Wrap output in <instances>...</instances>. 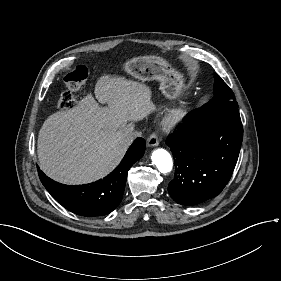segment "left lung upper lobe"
<instances>
[{
  "instance_id": "obj_1",
  "label": "left lung upper lobe",
  "mask_w": 281,
  "mask_h": 281,
  "mask_svg": "<svg viewBox=\"0 0 281 281\" xmlns=\"http://www.w3.org/2000/svg\"><path fill=\"white\" fill-rule=\"evenodd\" d=\"M202 109H217V108H231L237 109L238 103L235 100V96L232 90L227 84L220 78L218 74H215L214 83V97L205 105Z\"/></svg>"
}]
</instances>
